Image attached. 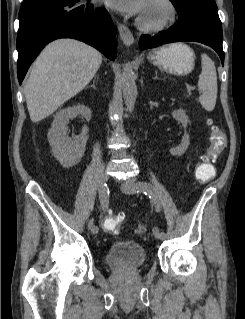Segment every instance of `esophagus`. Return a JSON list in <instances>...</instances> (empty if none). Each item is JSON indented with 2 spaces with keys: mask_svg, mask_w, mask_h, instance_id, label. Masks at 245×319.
Here are the masks:
<instances>
[{
  "mask_svg": "<svg viewBox=\"0 0 245 319\" xmlns=\"http://www.w3.org/2000/svg\"><path fill=\"white\" fill-rule=\"evenodd\" d=\"M119 35L126 46H131L134 44L135 40L131 31L121 23L117 24Z\"/></svg>",
  "mask_w": 245,
  "mask_h": 319,
  "instance_id": "esophagus-1",
  "label": "esophagus"
}]
</instances>
